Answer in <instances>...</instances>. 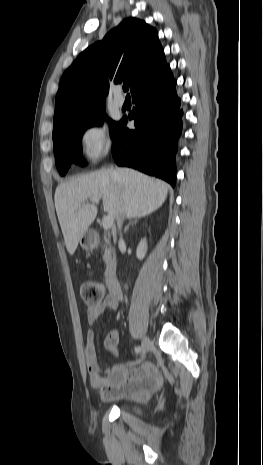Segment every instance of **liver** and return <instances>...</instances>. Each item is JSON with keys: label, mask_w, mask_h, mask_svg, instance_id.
<instances>
[{"label": "liver", "mask_w": 263, "mask_h": 465, "mask_svg": "<svg viewBox=\"0 0 263 465\" xmlns=\"http://www.w3.org/2000/svg\"><path fill=\"white\" fill-rule=\"evenodd\" d=\"M170 186L130 168H109L61 183L55 191V208L70 255L97 215L88 199L103 201L104 211L128 219L153 213L164 203Z\"/></svg>", "instance_id": "liver-1"}]
</instances>
